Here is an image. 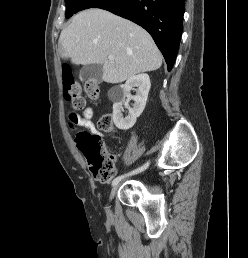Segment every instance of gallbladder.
I'll list each match as a JSON object with an SVG mask.
<instances>
[{"mask_svg":"<svg viewBox=\"0 0 248 258\" xmlns=\"http://www.w3.org/2000/svg\"><path fill=\"white\" fill-rule=\"evenodd\" d=\"M103 69L101 64H87L80 71L81 81L95 80L100 82L102 79Z\"/></svg>","mask_w":248,"mask_h":258,"instance_id":"1","label":"gallbladder"}]
</instances>
